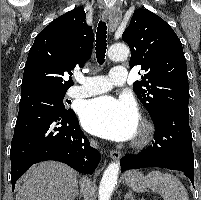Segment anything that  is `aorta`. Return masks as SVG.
<instances>
[{
    "instance_id": "1",
    "label": "aorta",
    "mask_w": 201,
    "mask_h": 200,
    "mask_svg": "<svg viewBox=\"0 0 201 200\" xmlns=\"http://www.w3.org/2000/svg\"><path fill=\"white\" fill-rule=\"evenodd\" d=\"M129 56V48L125 44H114L109 48L108 57L113 61H123ZM120 170L119 162L108 165L102 176L98 200H110Z\"/></svg>"
}]
</instances>
